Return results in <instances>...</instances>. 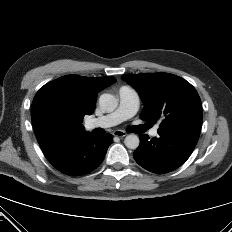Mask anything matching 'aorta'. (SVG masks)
<instances>
[{
    "instance_id": "aorta-1",
    "label": "aorta",
    "mask_w": 232,
    "mask_h": 232,
    "mask_svg": "<svg viewBox=\"0 0 232 232\" xmlns=\"http://www.w3.org/2000/svg\"><path fill=\"white\" fill-rule=\"evenodd\" d=\"M99 105L103 111L113 112L118 106V100L114 95L104 93L99 98ZM124 144L129 149H137L140 144L139 137L135 134L127 135Z\"/></svg>"
}]
</instances>
